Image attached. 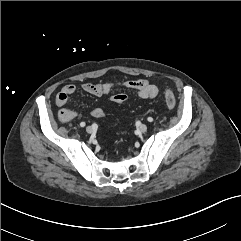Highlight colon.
Returning <instances> with one entry per match:
<instances>
[{
    "instance_id": "5ec220e1",
    "label": "colon",
    "mask_w": 241,
    "mask_h": 241,
    "mask_svg": "<svg viewBox=\"0 0 241 241\" xmlns=\"http://www.w3.org/2000/svg\"><path fill=\"white\" fill-rule=\"evenodd\" d=\"M127 96L123 93L116 94L112 97V100L116 103H122L126 100ZM164 99L167 107L169 109H173L176 106V98L172 91L169 89H165L164 91Z\"/></svg>"
}]
</instances>
